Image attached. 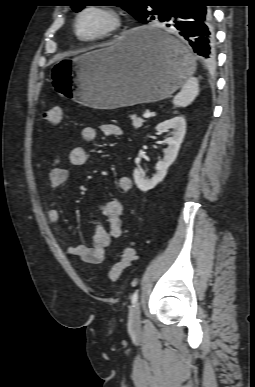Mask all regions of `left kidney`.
Here are the masks:
<instances>
[{
    "label": "left kidney",
    "instance_id": "5707ae66",
    "mask_svg": "<svg viewBox=\"0 0 255 387\" xmlns=\"http://www.w3.org/2000/svg\"><path fill=\"white\" fill-rule=\"evenodd\" d=\"M171 129L172 137L166 140L168 147L164 150V158L156 165V174L151 179H146L143 171L136 168L133 173L136 186L141 191H148L153 189L159 182H161L167 174L169 166L175 161L180 145L186 133V121L184 117L176 116L172 119L161 122L157 125L158 132H165Z\"/></svg>",
    "mask_w": 255,
    "mask_h": 387
}]
</instances>
